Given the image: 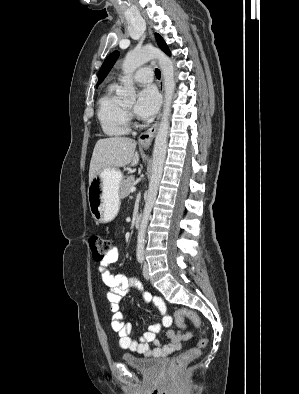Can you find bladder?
Wrapping results in <instances>:
<instances>
[{"label": "bladder", "mask_w": 299, "mask_h": 394, "mask_svg": "<svg viewBox=\"0 0 299 394\" xmlns=\"http://www.w3.org/2000/svg\"><path fill=\"white\" fill-rule=\"evenodd\" d=\"M121 360L126 365L144 374L154 372L161 363L158 358L137 356L131 353H123L121 355Z\"/></svg>", "instance_id": "1"}]
</instances>
